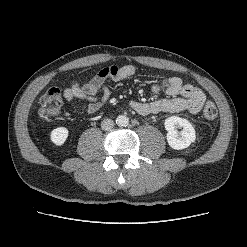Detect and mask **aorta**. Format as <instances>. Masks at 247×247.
<instances>
[{
	"label": "aorta",
	"mask_w": 247,
	"mask_h": 247,
	"mask_svg": "<svg viewBox=\"0 0 247 247\" xmlns=\"http://www.w3.org/2000/svg\"><path fill=\"white\" fill-rule=\"evenodd\" d=\"M129 123V118L126 115H119L116 118V124L119 126H127Z\"/></svg>",
	"instance_id": "1"
}]
</instances>
